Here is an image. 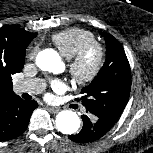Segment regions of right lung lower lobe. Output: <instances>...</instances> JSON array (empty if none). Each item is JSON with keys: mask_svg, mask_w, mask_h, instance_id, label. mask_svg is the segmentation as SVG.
<instances>
[{"mask_svg": "<svg viewBox=\"0 0 153 153\" xmlns=\"http://www.w3.org/2000/svg\"><path fill=\"white\" fill-rule=\"evenodd\" d=\"M37 107L36 101H24L17 95L0 102V141L20 136Z\"/></svg>", "mask_w": 153, "mask_h": 153, "instance_id": "1", "label": "right lung lower lobe"}]
</instances>
